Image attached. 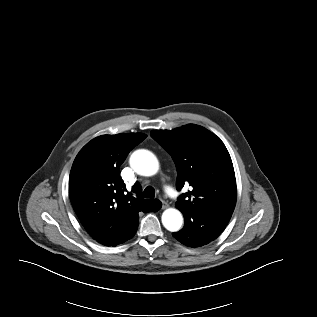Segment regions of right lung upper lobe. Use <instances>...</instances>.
Returning <instances> with one entry per match:
<instances>
[{
  "label": "right lung upper lobe",
  "mask_w": 317,
  "mask_h": 317,
  "mask_svg": "<svg viewBox=\"0 0 317 317\" xmlns=\"http://www.w3.org/2000/svg\"><path fill=\"white\" fill-rule=\"evenodd\" d=\"M146 138L141 133L102 135L86 144L76 156L69 177V196L87 232L106 246L127 241L138 227L139 212L159 200L141 198L135 184L128 192L119 167L128 153Z\"/></svg>",
  "instance_id": "right-lung-upper-lobe-1"
}]
</instances>
